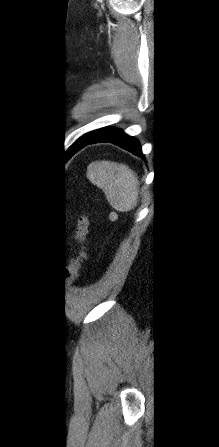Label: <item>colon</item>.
<instances>
[{"label":"colon","instance_id":"5ec220e1","mask_svg":"<svg viewBox=\"0 0 219 447\" xmlns=\"http://www.w3.org/2000/svg\"><path fill=\"white\" fill-rule=\"evenodd\" d=\"M89 228V214L87 211H84L77 220L76 224V235L78 239L83 242L85 237L87 236ZM85 258V251L83 246H80V250L77 256L73 259L71 264H69L64 270V278L66 281L73 283L75 282L78 271L83 263Z\"/></svg>","mask_w":219,"mask_h":447}]
</instances>
